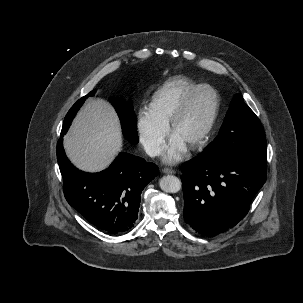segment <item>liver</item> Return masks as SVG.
<instances>
[{
    "label": "liver",
    "mask_w": 303,
    "mask_h": 303,
    "mask_svg": "<svg viewBox=\"0 0 303 303\" xmlns=\"http://www.w3.org/2000/svg\"><path fill=\"white\" fill-rule=\"evenodd\" d=\"M68 158L79 169H105L122 149L119 119L112 106L102 100H88L64 137Z\"/></svg>",
    "instance_id": "1"
}]
</instances>
